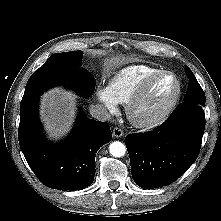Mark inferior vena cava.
<instances>
[{
	"label": "inferior vena cava",
	"instance_id": "obj_1",
	"mask_svg": "<svg viewBox=\"0 0 221 221\" xmlns=\"http://www.w3.org/2000/svg\"><path fill=\"white\" fill-rule=\"evenodd\" d=\"M90 114L92 117L100 121H107L111 118V115L108 113L107 109L101 104L92 105L90 107Z\"/></svg>",
	"mask_w": 221,
	"mask_h": 221
}]
</instances>
